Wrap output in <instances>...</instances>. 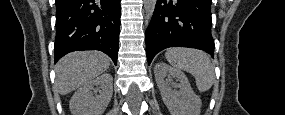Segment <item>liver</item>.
Returning a JSON list of instances; mask_svg holds the SVG:
<instances>
[{
    "label": "liver",
    "mask_w": 285,
    "mask_h": 115,
    "mask_svg": "<svg viewBox=\"0 0 285 115\" xmlns=\"http://www.w3.org/2000/svg\"><path fill=\"white\" fill-rule=\"evenodd\" d=\"M110 66L107 55L98 51L74 52L56 64V86L61 95L70 93L93 80Z\"/></svg>",
    "instance_id": "obj_1"
}]
</instances>
